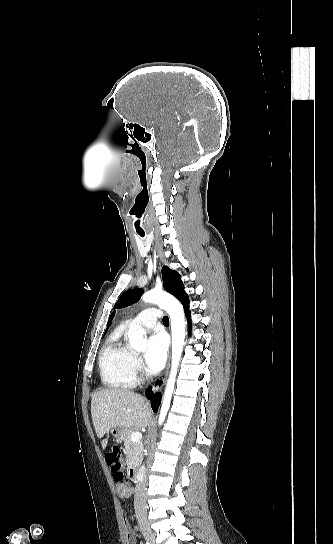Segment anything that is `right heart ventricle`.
<instances>
[{
	"label": "right heart ventricle",
	"instance_id": "1",
	"mask_svg": "<svg viewBox=\"0 0 333 544\" xmlns=\"http://www.w3.org/2000/svg\"><path fill=\"white\" fill-rule=\"evenodd\" d=\"M133 352L122 341V329L111 333L99 355V370L103 383L112 388H131L135 377L131 370Z\"/></svg>",
	"mask_w": 333,
	"mask_h": 544
}]
</instances>
